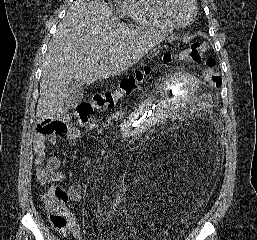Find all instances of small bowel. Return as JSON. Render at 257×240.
Segmentation results:
<instances>
[{
    "label": "small bowel",
    "mask_w": 257,
    "mask_h": 240,
    "mask_svg": "<svg viewBox=\"0 0 257 240\" xmlns=\"http://www.w3.org/2000/svg\"><path fill=\"white\" fill-rule=\"evenodd\" d=\"M63 132L58 134L44 135L38 133L34 139V152L36 154L35 164L37 168V177L41 185L47 186L51 179L56 181H64L67 176L60 172L61 160L58 156H50L47 158L46 155V142L51 144L57 143L59 136L67 137L68 139H76L79 136V130L70 125L65 124ZM68 197L73 202H78L82 196V188L79 183H73L67 190ZM69 229L67 231H61L62 234H66L71 231L76 240H84L83 232L80 229L76 219L71 214H68ZM130 236L137 240L135 235L131 232Z\"/></svg>",
    "instance_id": "small-bowel-1"
}]
</instances>
